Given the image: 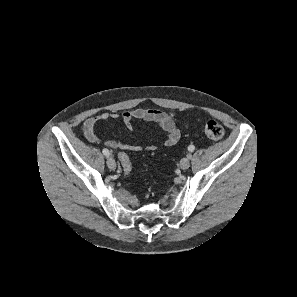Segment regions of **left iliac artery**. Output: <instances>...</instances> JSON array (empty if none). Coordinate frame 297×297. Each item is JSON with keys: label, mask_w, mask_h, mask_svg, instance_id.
<instances>
[{"label": "left iliac artery", "mask_w": 297, "mask_h": 297, "mask_svg": "<svg viewBox=\"0 0 297 297\" xmlns=\"http://www.w3.org/2000/svg\"><path fill=\"white\" fill-rule=\"evenodd\" d=\"M194 149H195L194 145H190V146L188 147V150H189L190 152H193ZM187 157H188L189 159H191L192 156H191V154H187Z\"/></svg>", "instance_id": "1"}]
</instances>
